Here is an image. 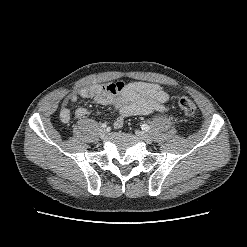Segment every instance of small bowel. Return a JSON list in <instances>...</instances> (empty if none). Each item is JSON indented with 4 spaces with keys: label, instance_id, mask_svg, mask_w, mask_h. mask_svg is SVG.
<instances>
[{
    "label": "small bowel",
    "instance_id": "c3829d8e",
    "mask_svg": "<svg viewBox=\"0 0 247 247\" xmlns=\"http://www.w3.org/2000/svg\"><path fill=\"white\" fill-rule=\"evenodd\" d=\"M81 98L112 107L118 114L114 126L120 128L126 117L144 116L154 111L166 112L170 96L161 85L155 83L118 81L92 84L74 90L64 99L60 111L62 123L70 121L71 107ZM90 113L87 108L79 107L75 111V116L82 118Z\"/></svg>",
    "mask_w": 247,
    "mask_h": 247
}]
</instances>
